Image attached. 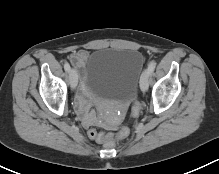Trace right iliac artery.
Here are the masks:
<instances>
[{
	"label": "right iliac artery",
	"mask_w": 219,
	"mask_h": 174,
	"mask_svg": "<svg viewBox=\"0 0 219 174\" xmlns=\"http://www.w3.org/2000/svg\"><path fill=\"white\" fill-rule=\"evenodd\" d=\"M64 69H65L67 72L70 71V65H69V63H65V64H64Z\"/></svg>",
	"instance_id": "obj_1"
}]
</instances>
